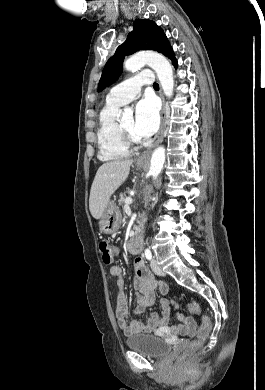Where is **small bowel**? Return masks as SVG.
Returning <instances> with one entry per match:
<instances>
[{
  "label": "small bowel",
  "mask_w": 265,
  "mask_h": 390,
  "mask_svg": "<svg viewBox=\"0 0 265 390\" xmlns=\"http://www.w3.org/2000/svg\"><path fill=\"white\" fill-rule=\"evenodd\" d=\"M115 255L119 253L114 249ZM135 278L134 288L136 291L137 303L134 308L136 314H142L148 307L155 302V290L158 288L162 295L168 293V285L155 279L152 273L145 266L141 258L135 260ZM112 276L117 278L116 283V308L115 316L119 328L126 335L137 333H155L164 334L168 331V323L171 315V303L168 299L162 298L159 302L160 312L152 313L148 323L141 320H129L128 304L125 293V283L123 280V268L120 265H113L110 268ZM179 323L173 327L175 333L192 337L196 332V321L191 316H185L182 313L176 314Z\"/></svg>",
  "instance_id": "obj_1"
}]
</instances>
